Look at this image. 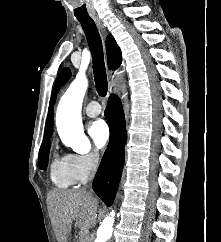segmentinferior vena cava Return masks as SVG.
I'll return each instance as SVG.
<instances>
[{
  "instance_id": "inferior-vena-cava-1",
  "label": "inferior vena cava",
  "mask_w": 221,
  "mask_h": 242,
  "mask_svg": "<svg viewBox=\"0 0 221 242\" xmlns=\"http://www.w3.org/2000/svg\"><path fill=\"white\" fill-rule=\"evenodd\" d=\"M95 170H96V161H94V163L92 164V177Z\"/></svg>"
}]
</instances>
